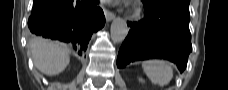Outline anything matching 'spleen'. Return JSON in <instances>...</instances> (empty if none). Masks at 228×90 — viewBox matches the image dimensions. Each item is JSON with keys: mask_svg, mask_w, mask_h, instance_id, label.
Wrapping results in <instances>:
<instances>
[{"mask_svg": "<svg viewBox=\"0 0 228 90\" xmlns=\"http://www.w3.org/2000/svg\"><path fill=\"white\" fill-rule=\"evenodd\" d=\"M142 67L153 84L165 86L173 77V69L165 60H148L143 62Z\"/></svg>", "mask_w": 228, "mask_h": 90, "instance_id": "3e777b00", "label": "spleen"}]
</instances>
